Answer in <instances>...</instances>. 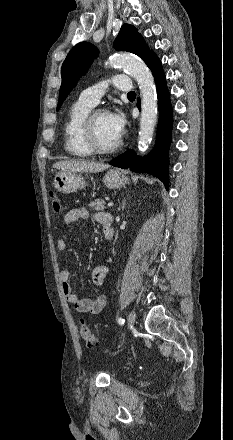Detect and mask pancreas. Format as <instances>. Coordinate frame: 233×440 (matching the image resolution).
I'll return each instance as SVG.
<instances>
[{"label": "pancreas", "instance_id": "pancreas-1", "mask_svg": "<svg viewBox=\"0 0 233 440\" xmlns=\"http://www.w3.org/2000/svg\"><path fill=\"white\" fill-rule=\"evenodd\" d=\"M94 211H103L105 209V201L102 199H96L94 202L89 204Z\"/></svg>", "mask_w": 233, "mask_h": 440}]
</instances>
